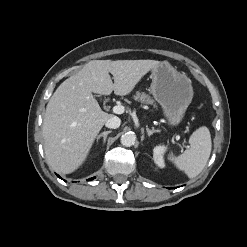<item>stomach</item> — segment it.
I'll list each match as a JSON object with an SVG mask.
<instances>
[{
	"label": "stomach",
	"instance_id": "0dacf381",
	"mask_svg": "<svg viewBox=\"0 0 247 247\" xmlns=\"http://www.w3.org/2000/svg\"><path fill=\"white\" fill-rule=\"evenodd\" d=\"M151 78L150 89L154 99L162 107L169 125L177 126L193 98L190 79L166 61L152 69Z\"/></svg>",
	"mask_w": 247,
	"mask_h": 247
}]
</instances>
